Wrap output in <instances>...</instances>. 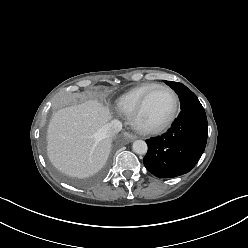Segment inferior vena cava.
Masks as SVG:
<instances>
[{"label": "inferior vena cava", "mask_w": 248, "mask_h": 248, "mask_svg": "<svg viewBox=\"0 0 248 248\" xmlns=\"http://www.w3.org/2000/svg\"><path fill=\"white\" fill-rule=\"evenodd\" d=\"M122 129V123L119 120H112L104 126V131L107 137H113Z\"/></svg>", "instance_id": "obj_1"}]
</instances>
